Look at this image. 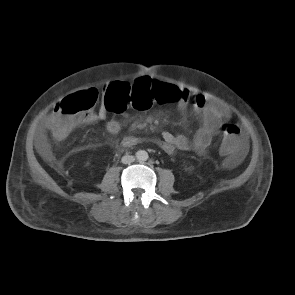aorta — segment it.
<instances>
[{
    "label": "aorta",
    "instance_id": "762f6f07",
    "mask_svg": "<svg viewBox=\"0 0 295 295\" xmlns=\"http://www.w3.org/2000/svg\"><path fill=\"white\" fill-rule=\"evenodd\" d=\"M136 157L138 161H146L148 159V153L145 150H139L136 152Z\"/></svg>",
    "mask_w": 295,
    "mask_h": 295
}]
</instances>
